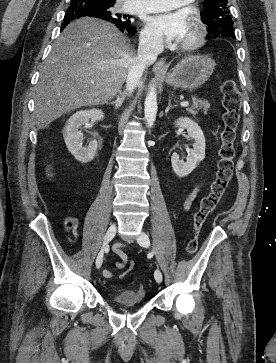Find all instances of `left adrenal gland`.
<instances>
[{
	"label": "left adrenal gland",
	"instance_id": "1",
	"mask_svg": "<svg viewBox=\"0 0 276 363\" xmlns=\"http://www.w3.org/2000/svg\"><path fill=\"white\" fill-rule=\"evenodd\" d=\"M175 107H176L175 105L174 106L171 105V99H169L168 106L165 109V115L168 114V112H169L170 109H174Z\"/></svg>",
	"mask_w": 276,
	"mask_h": 363
}]
</instances>
